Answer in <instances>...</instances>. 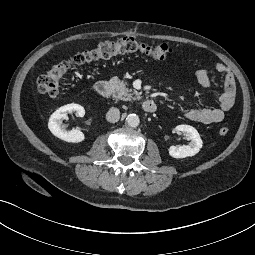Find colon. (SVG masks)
Here are the masks:
<instances>
[{
    "instance_id": "1",
    "label": "colon",
    "mask_w": 255,
    "mask_h": 255,
    "mask_svg": "<svg viewBox=\"0 0 255 255\" xmlns=\"http://www.w3.org/2000/svg\"><path fill=\"white\" fill-rule=\"evenodd\" d=\"M138 52L157 60L167 59L172 54V49L167 44L149 45L132 37H125L118 41H104L91 49L74 55L71 59L59 62L43 73L37 81L38 91L51 98H58L63 80L69 71L76 65H82L98 60L110 59L124 53ZM229 129L222 126L219 134L224 136Z\"/></svg>"
}]
</instances>
